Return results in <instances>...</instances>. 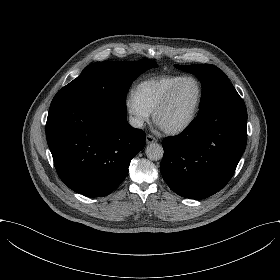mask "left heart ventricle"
<instances>
[{"label": "left heart ventricle", "mask_w": 280, "mask_h": 280, "mask_svg": "<svg viewBox=\"0 0 280 280\" xmlns=\"http://www.w3.org/2000/svg\"><path fill=\"white\" fill-rule=\"evenodd\" d=\"M200 95L196 81H185L174 95L170 106L160 115L159 124L170 127L186 121L194 112Z\"/></svg>", "instance_id": "b2bd125f"}]
</instances>
